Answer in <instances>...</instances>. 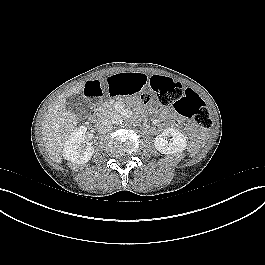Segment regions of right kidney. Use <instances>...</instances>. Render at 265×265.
Segmentation results:
<instances>
[{
    "instance_id": "obj_1",
    "label": "right kidney",
    "mask_w": 265,
    "mask_h": 265,
    "mask_svg": "<svg viewBox=\"0 0 265 265\" xmlns=\"http://www.w3.org/2000/svg\"><path fill=\"white\" fill-rule=\"evenodd\" d=\"M87 128L80 126L76 128L65 141L63 148V157L73 164H84L90 161L93 153V147L82 148L81 143L86 138Z\"/></svg>"
}]
</instances>
